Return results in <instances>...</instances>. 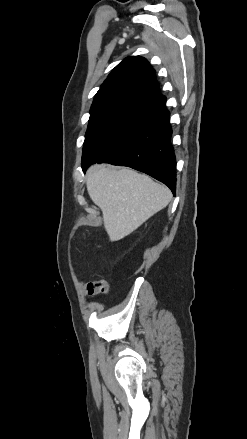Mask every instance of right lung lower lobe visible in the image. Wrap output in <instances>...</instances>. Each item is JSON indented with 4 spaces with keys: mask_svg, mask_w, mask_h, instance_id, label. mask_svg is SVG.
<instances>
[{
    "mask_svg": "<svg viewBox=\"0 0 247 439\" xmlns=\"http://www.w3.org/2000/svg\"><path fill=\"white\" fill-rule=\"evenodd\" d=\"M170 113L164 107L122 144L97 162L128 166L142 171L176 191V160L170 144ZM91 165V164H90ZM83 168V171L90 166Z\"/></svg>",
    "mask_w": 247,
    "mask_h": 439,
    "instance_id": "obj_1",
    "label": "right lung lower lobe"
}]
</instances>
